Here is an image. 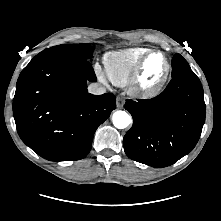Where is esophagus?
Wrapping results in <instances>:
<instances>
[{"label": "esophagus", "instance_id": "esophagus-1", "mask_svg": "<svg viewBox=\"0 0 221 221\" xmlns=\"http://www.w3.org/2000/svg\"><path fill=\"white\" fill-rule=\"evenodd\" d=\"M125 100L122 97H117V108H122L124 106Z\"/></svg>", "mask_w": 221, "mask_h": 221}]
</instances>
